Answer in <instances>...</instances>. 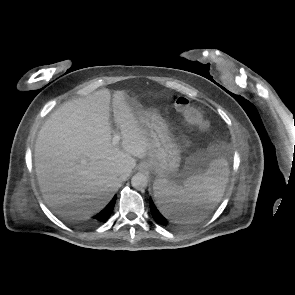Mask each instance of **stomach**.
I'll return each mask as SVG.
<instances>
[{
  "instance_id": "1",
  "label": "stomach",
  "mask_w": 295,
  "mask_h": 295,
  "mask_svg": "<svg viewBox=\"0 0 295 295\" xmlns=\"http://www.w3.org/2000/svg\"><path fill=\"white\" fill-rule=\"evenodd\" d=\"M130 104L139 126L150 139L146 166L160 179L175 178L181 162V146L171 132L167 121L156 110L145 109L135 102Z\"/></svg>"
}]
</instances>
